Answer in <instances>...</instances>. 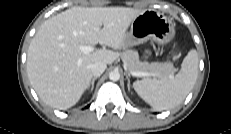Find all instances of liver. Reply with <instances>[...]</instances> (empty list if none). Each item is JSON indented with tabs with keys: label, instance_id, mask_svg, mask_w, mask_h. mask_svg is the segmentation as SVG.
<instances>
[{
	"label": "liver",
	"instance_id": "liver-1",
	"mask_svg": "<svg viewBox=\"0 0 231 134\" xmlns=\"http://www.w3.org/2000/svg\"><path fill=\"white\" fill-rule=\"evenodd\" d=\"M144 11L126 7H72L42 23L27 53L29 81L47 105H75L92 79L95 62L112 64L119 53L100 49L88 54L80 46L125 48L127 29ZM103 26V27H102Z\"/></svg>",
	"mask_w": 231,
	"mask_h": 134
}]
</instances>
